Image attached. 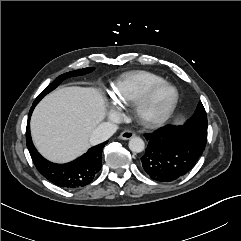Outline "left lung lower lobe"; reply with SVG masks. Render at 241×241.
I'll use <instances>...</instances> for the list:
<instances>
[{
	"mask_svg": "<svg viewBox=\"0 0 241 241\" xmlns=\"http://www.w3.org/2000/svg\"><path fill=\"white\" fill-rule=\"evenodd\" d=\"M148 146L141 163L151 179L175 181L187 174L202 155L207 139L189 126L167 125L145 134Z\"/></svg>",
	"mask_w": 241,
	"mask_h": 241,
	"instance_id": "0a47b994",
	"label": "left lung lower lobe"
}]
</instances>
